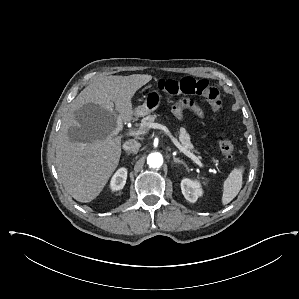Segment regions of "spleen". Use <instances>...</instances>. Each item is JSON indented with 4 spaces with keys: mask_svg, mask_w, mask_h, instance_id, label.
<instances>
[{
    "mask_svg": "<svg viewBox=\"0 0 299 299\" xmlns=\"http://www.w3.org/2000/svg\"><path fill=\"white\" fill-rule=\"evenodd\" d=\"M243 167L234 168L223 185L222 204L230 203L242 188Z\"/></svg>",
    "mask_w": 299,
    "mask_h": 299,
    "instance_id": "obj_1",
    "label": "spleen"
}]
</instances>
